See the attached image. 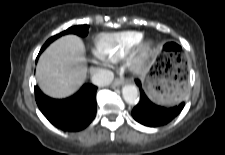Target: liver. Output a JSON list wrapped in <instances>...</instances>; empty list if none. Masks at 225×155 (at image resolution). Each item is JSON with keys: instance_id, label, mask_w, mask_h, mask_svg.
<instances>
[{"instance_id": "liver-1", "label": "liver", "mask_w": 225, "mask_h": 155, "mask_svg": "<svg viewBox=\"0 0 225 155\" xmlns=\"http://www.w3.org/2000/svg\"><path fill=\"white\" fill-rule=\"evenodd\" d=\"M84 44L76 35L54 41L40 56L36 79L41 90L53 98L74 94L86 79Z\"/></svg>"}]
</instances>
